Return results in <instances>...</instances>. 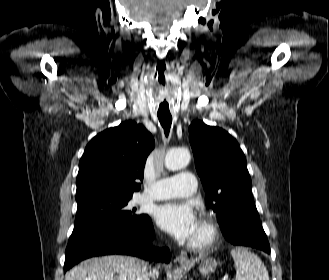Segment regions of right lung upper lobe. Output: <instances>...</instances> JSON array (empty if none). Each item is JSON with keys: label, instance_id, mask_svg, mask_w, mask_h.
Masks as SVG:
<instances>
[{"label": "right lung upper lobe", "instance_id": "1", "mask_svg": "<svg viewBox=\"0 0 329 280\" xmlns=\"http://www.w3.org/2000/svg\"><path fill=\"white\" fill-rule=\"evenodd\" d=\"M154 148L141 124L126 121L96 135L79 162L76 199L91 195L132 197L140 189L144 166Z\"/></svg>", "mask_w": 329, "mask_h": 280}]
</instances>
